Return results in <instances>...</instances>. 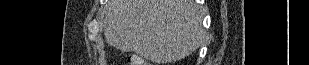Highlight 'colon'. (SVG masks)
Wrapping results in <instances>:
<instances>
[{
	"label": "colon",
	"mask_w": 309,
	"mask_h": 65,
	"mask_svg": "<svg viewBox=\"0 0 309 65\" xmlns=\"http://www.w3.org/2000/svg\"><path fill=\"white\" fill-rule=\"evenodd\" d=\"M140 62H141L140 59H136V60L131 61L130 64H133V63H140Z\"/></svg>",
	"instance_id": "5ec220e1"
}]
</instances>
